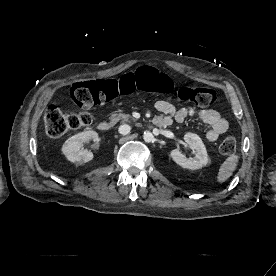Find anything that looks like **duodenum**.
<instances>
[{
    "label": "duodenum",
    "instance_id": "duodenum-1",
    "mask_svg": "<svg viewBox=\"0 0 276 276\" xmlns=\"http://www.w3.org/2000/svg\"><path fill=\"white\" fill-rule=\"evenodd\" d=\"M153 124L159 127H166L169 125L168 121L161 117L154 118ZM97 127L101 132H107L110 130L111 124L108 121H100Z\"/></svg>",
    "mask_w": 276,
    "mask_h": 276
}]
</instances>
